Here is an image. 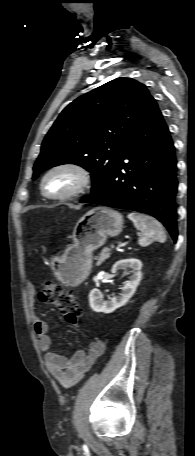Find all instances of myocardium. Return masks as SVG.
Instances as JSON below:
<instances>
[{"label": "myocardium", "instance_id": "1", "mask_svg": "<svg viewBox=\"0 0 195 456\" xmlns=\"http://www.w3.org/2000/svg\"><path fill=\"white\" fill-rule=\"evenodd\" d=\"M59 170H69L74 172L78 176V183L77 185L68 193L62 194V195H52L49 194L46 190L45 183L47 178L54 172L59 171ZM91 184V174L87 168L84 166L73 163V162H65V163H60L57 165H54L51 167L42 177L41 179V192L42 194L51 200L55 201H65V200H70L72 198L78 197L81 194H83L90 186Z\"/></svg>", "mask_w": 195, "mask_h": 456}]
</instances>
